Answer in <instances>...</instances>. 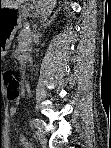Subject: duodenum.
Wrapping results in <instances>:
<instances>
[{"label":"duodenum","instance_id":"duodenum-1","mask_svg":"<svg viewBox=\"0 0 111 148\" xmlns=\"http://www.w3.org/2000/svg\"><path fill=\"white\" fill-rule=\"evenodd\" d=\"M20 60H21V63L24 65L28 61V56L26 54H21L20 55Z\"/></svg>","mask_w":111,"mask_h":148}]
</instances>
